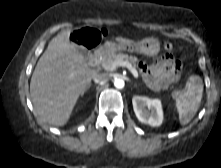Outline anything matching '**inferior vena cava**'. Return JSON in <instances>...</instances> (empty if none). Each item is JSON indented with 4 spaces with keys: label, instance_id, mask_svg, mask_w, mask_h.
<instances>
[{
    "label": "inferior vena cava",
    "instance_id": "inferior-vena-cava-1",
    "mask_svg": "<svg viewBox=\"0 0 221 168\" xmlns=\"http://www.w3.org/2000/svg\"><path fill=\"white\" fill-rule=\"evenodd\" d=\"M107 80V74L105 73H100L94 76V82L95 83H100V82H104Z\"/></svg>",
    "mask_w": 221,
    "mask_h": 168
}]
</instances>
